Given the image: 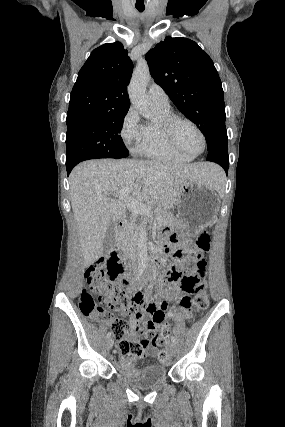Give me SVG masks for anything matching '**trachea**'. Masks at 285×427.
Wrapping results in <instances>:
<instances>
[{"label":"trachea","instance_id":"1","mask_svg":"<svg viewBox=\"0 0 285 427\" xmlns=\"http://www.w3.org/2000/svg\"><path fill=\"white\" fill-rule=\"evenodd\" d=\"M137 8V10L139 11V12H143L144 11V7H136Z\"/></svg>","mask_w":285,"mask_h":427}]
</instances>
